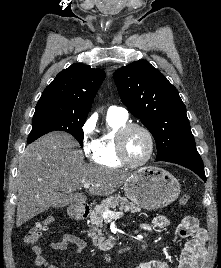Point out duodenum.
<instances>
[{
	"instance_id": "obj_1",
	"label": "duodenum",
	"mask_w": 221,
	"mask_h": 268,
	"mask_svg": "<svg viewBox=\"0 0 221 268\" xmlns=\"http://www.w3.org/2000/svg\"><path fill=\"white\" fill-rule=\"evenodd\" d=\"M89 214V208L86 206H75L71 208L70 215L75 220H83L85 219ZM106 261H111L110 256H105Z\"/></svg>"
}]
</instances>
